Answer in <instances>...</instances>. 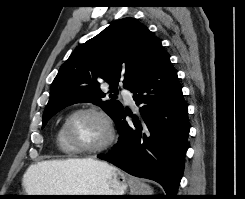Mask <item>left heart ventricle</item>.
<instances>
[{
  "instance_id": "left-heart-ventricle-1",
  "label": "left heart ventricle",
  "mask_w": 245,
  "mask_h": 199,
  "mask_svg": "<svg viewBox=\"0 0 245 199\" xmlns=\"http://www.w3.org/2000/svg\"><path fill=\"white\" fill-rule=\"evenodd\" d=\"M69 130L73 140L81 147L95 148L107 138L103 121L93 114L77 115L70 123Z\"/></svg>"
}]
</instances>
